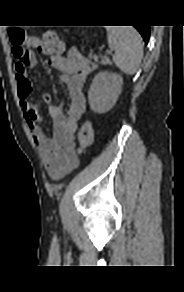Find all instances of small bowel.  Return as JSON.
<instances>
[{
    "mask_svg": "<svg viewBox=\"0 0 184 292\" xmlns=\"http://www.w3.org/2000/svg\"><path fill=\"white\" fill-rule=\"evenodd\" d=\"M38 44L36 38H30L28 47L36 48ZM35 64V56L28 51L27 59L17 60L15 65L20 105L26 124L42 153L47 173L51 178L59 179L78 166L75 131L85 110L83 87L88 76L96 69V64L82 57L75 48H71L65 56L53 55L47 59L48 66L61 72L60 80L66 85L69 101L64 110L62 104H51L49 93H42L41 100L48 105V114L54 125L52 135H47L39 125L41 120L39 109L29 99L32 87L27 70Z\"/></svg>",
    "mask_w": 184,
    "mask_h": 292,
    "instance_id": "small-bowel-1",
    "label": "small bowel"
}]
</instances>
